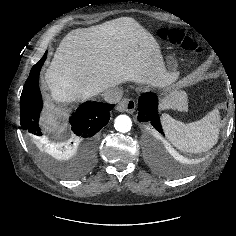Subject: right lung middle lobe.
<instances>
[{
  "instance_id": "dd1d6c3e",
  "label": "right lung middle lobe",
  "mask_w": 236,
  "mask_h": 236,
  "mask_svg": "<svg viewBox=\"0 0 236 236\" xmlns=\"http://www.w3.org/2000/svg\"><path fill=\"white\" fill-rule=\"evenodd\" d=\"M32 146L38 157H40L41 161L43 164H45L47 167L52 168L55 170L57 173L61 174L62 176L66 177H74L77 174H79V170H71L67 168L66 166H63L57 162H55L52 158H50L46 154V148L43 147L40 143H38L36 140L32 139L31 140ZM94 161V156H92L90 159L86 160V163L92 164Z\"/></svg>"
}]
</instances>
